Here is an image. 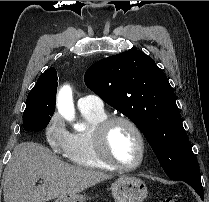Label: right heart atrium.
I'll list each match as a JSON object with an SVG mask.
<instances>
[{
    "mask_svg": "<svg viewBox=\"0 0 209 202\" xmlns=\"http://www.w3.org/2000/svg\"><path fill=\"white\" fill-rule=\"evenodd\" d=\"M44 137L55 152L65 153L69 145L70 133L58 114L49 117L44 127Z\"/></svg>",
    "mask_w": 209,
    "mask_h": 202,
    "instance_id": "right-heart-atrium-1",
    "label": "right heart atrium"
}]
</instances>
